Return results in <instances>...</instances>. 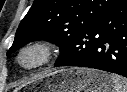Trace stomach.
<instances>
[{
	"label": "stomach",
	"instance_id": "stomach-1",
	"mask_svg": "<svg viewBox=\"0 0 127 92\" xmlns=\"http://www.w3.org/2000/svg\"><path fill=\"white\" fill-rule=\"evenodd\" d=\"M40 92H112L113 83L101 71L69 67L46 73L35 82Z\"/></svg>",
	"mask_w": 127,
	"mask_h": 92
}]
</instances>
